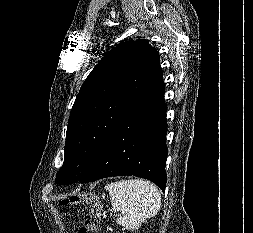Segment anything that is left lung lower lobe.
<instances>
[{"label":"left lung lower lobe","mask_w":253,"mask_h":233,"mask_svg":"<svg viewBox=\"0 0 253 233\" xmlns=\"http://www.w3.org/2000/svg\"><path fill=\"white\" fill-rule=\"evenodd\" d=\"M162 76L141 96L112 131L90 171L79 180L134 175L166 187V104Z\"/></svg>","instance_id":"obj_1"}]
</instances>
